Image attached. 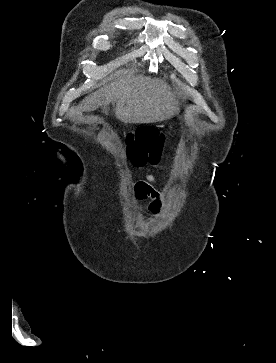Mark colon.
<instances>
[{
    "mask_svg": "<svg viewBox=\"0 0 276 363\" xmlns=\"http://www.w3.org/2000/svg\"><path fill=\"white\" fill-rule=\"evenodd\" d=\"M164 147V135L152 127H142L128 136V150L137 165L158 161Z\"/></svg>",
    "mask_w": 276,
    "mask_h": 363,
    "instance_id": "obj_1",
    "label": "colon"
}]
</instances>
